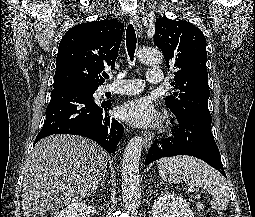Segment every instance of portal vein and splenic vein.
Returning a JSON list of instances; mask_svg holds the SVG:
<instances>
[{
  "label": "portal vein and splenic vein",
  "mask_w": 255,
  "mask_h": 217,
  "mask_svg": "<svg viewBox=\"0 0 255 217\" xmlns=\"http://www.w3.org/2000/svg\"><path fill=\"white\" fill-rule=\"evenodd\" d=\"M194 190H195V189H194L193 187H190V188H189V191H190V192H193Z\"/></svg>",
  "instance_id": "obj_1"
}]
</instances>
